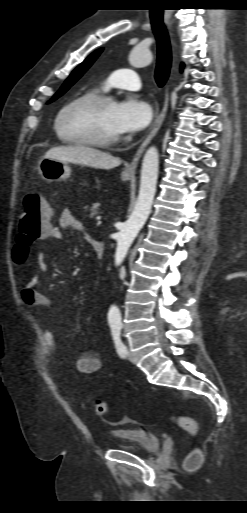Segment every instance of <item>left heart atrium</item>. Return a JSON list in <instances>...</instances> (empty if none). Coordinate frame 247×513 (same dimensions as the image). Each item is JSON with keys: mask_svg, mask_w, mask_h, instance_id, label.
Masks as SVG:
<instances>
[{"mask_svg": "<svg viewBox=\"0 0 247 513\" xmlns=\"http://www.w3.org/2000/svg\"><path fill=\"white\" fill-rule=\"evenodd\" d=\"M151 119V106L137 96H127L116 105L114 122L120 135L133 134L143 130L151 122Z\"/></svg>", "mask_w": 247, "mask_h": 513, "instance_id": "1", "label": "left heart atrium"}]
</instances>
